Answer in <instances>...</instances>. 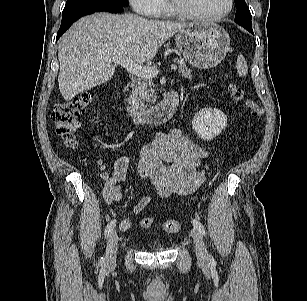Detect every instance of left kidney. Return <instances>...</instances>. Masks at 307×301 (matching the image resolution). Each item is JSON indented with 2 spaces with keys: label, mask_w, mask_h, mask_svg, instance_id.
I'll use <instances>...</instances> for the list:
<instances>
[{
  "label": "left kidney",
  "mask_w": 307,
  "mask_h": 301,
  "mask_svg": "<svg viewBox=\"0 0 307 301\" xmlns=\"http://www.w3.org/2000/svg\"><path fill=\"white\" fill-rule=\"evenodd\" d=\"M227 126V116L218 109L203 108L192 119V128L204 140L218 136Z\"/></svg>",
  "instance_id": "5707ae66"
}]
</instances>
